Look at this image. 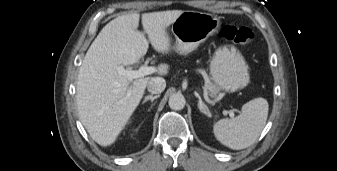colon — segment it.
<instances>
[{
    "label": "colon",
    "mask_w": 337,
    "mask_h": 171,
    "mask_svg": "<svg viewBox=\"0 0 337 171\" xmlns=\"http://www.w3.org/2000/svg\"><path fill=\"white\" fill-rule=\"evenodd\" d=\"M219 36L240 45H247L253 39V33L249 28L236 25H226L220 31Z\"/></svg>",
    "instance_id": "colon-1"
}]
</instances>
